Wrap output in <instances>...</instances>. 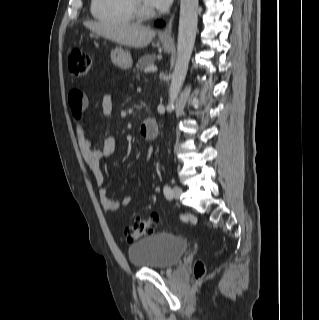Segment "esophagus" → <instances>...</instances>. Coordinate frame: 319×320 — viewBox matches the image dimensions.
Segmentation results:
<instances>
[{
	"instance_id": "esophagus-1",
	"label": "esophagus",
	"mask_w": 319,
	"mask_h": 320,
	"mask_svg": "<svg viewBox=\"0 0 319 320\" xmlns=\"http://www.w3.org/2000/svg\"><path fill=\"white\" fill-rule=\"evenodd\" d=\"M175 12H176V8L173 11V13L171 14L169 20L167 21L165 27L162 29V31L160 32V37L164 38L168 41H173L172 38V26H173V21H174V17H175Z\"/></svg>"
}]
</instances>
